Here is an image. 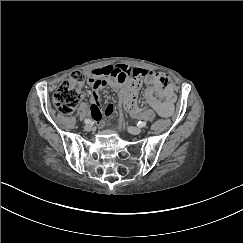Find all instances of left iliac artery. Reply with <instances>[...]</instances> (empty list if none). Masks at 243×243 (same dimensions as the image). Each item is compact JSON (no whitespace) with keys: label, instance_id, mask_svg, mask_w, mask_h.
Wrapping results in <instances>:
<instances>
[{"label":"left iliac artery","instance_id":"1","mask_svg":"<svg viewBox=\"0 0 243 243\" xmlns=\"http://www.w3.org/2000/svg\"><path fill=\"white\" fill-rule=\"evenodd\" d=\"M147 125V123L146 122H142V121H139L138 123H137V126L138 127H140V128H142V127H145Z\"/></svg>","mask_w":243,"mask_h":243}]
</instances>
